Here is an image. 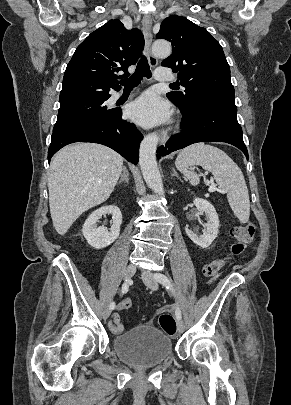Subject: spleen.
<instances>
[{"label": "spleen", "mask_w": 291, "mask_h": 405, "mask_svg": "<svg viewBox=\"0 0 291 405\" xmlns=\"http://www.w3.org/2000/svg\"><path fill=\"white\" fill-rule=\"evenodd\" d=\"M175 165L193 186L200 182L199 176L192 171L193 166L211 172L216 183L226 191L228 203L240 222L249 220L250 201L243 173L224 151L203 143L194 144L179 153Z\"/></svg>", "instance_id": "spleen-1"}]
</instances>
